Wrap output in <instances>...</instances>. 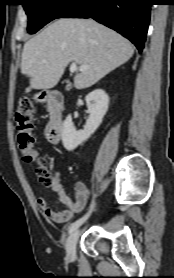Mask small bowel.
<instances>
[{
    "label": "small bowel",
    "mask_w": 174,
    "mask_h": 278,
    "mask_svg": "<svg viewBox=\"0 0 174 278\" xmlns=\"http://www.w3.org/2000/svg\"><path fill=\"white\" fill-rule=\"evenodd\" d=\"M52 190L58 195L60 202L66 207L62 211L52 210L42 196L36 198L37 206L42 209L45 215L57 223H65L72 219V217L81 212L88 200V188L86 184L82 181L76 182L74 185V199L70 198L66 193L60 179L56 177L51 185Z\"/></svg>",
    "instance_id": "small-bowel-1"
}]
</instances>
